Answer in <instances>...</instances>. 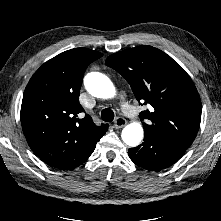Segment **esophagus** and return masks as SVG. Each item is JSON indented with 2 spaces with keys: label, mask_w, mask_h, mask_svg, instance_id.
I'll use <instances>...</instances> for the list:
<instances>
[{
  "label": "esophagus",
  "mask_w": 221,
  "mask_h": 221,
  "mask_svg": "<svg viewBox=\"0 0 221 221\" xmlns=\"http://www.w3.org/2000/svg\"><path fill=\"white\" fill-rule=\"evenodd\" d=\"M126 124H127L126 119H124L123 117H117L114 122V128L120 129L124 127Z\"/></svg>",
  "instance_id": "esophagus-1"
}]
</instances>
